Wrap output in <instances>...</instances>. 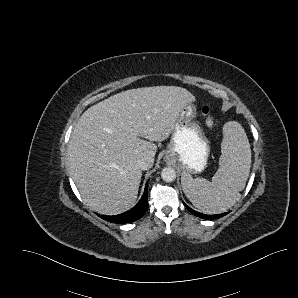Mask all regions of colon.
Wrapping results in <instances>:
<instances>
[{
  "instance_id": "5ec220e1",
  "label": "colon",
  "mask_w": 298,
  "mask_h": 298,
  "mask_svg": "<svg viewBox=\"0 0 298 298\" xmlns=\"http://www.w3.org/2000/svg\"><path fill=\"white\" fill-rule=\"evenodd\" d=\"M202 114L206 117L207 124L209 126H214L215 125V121L210 116V107L208 105H205V106L202 107Z\"/></svg>"
}]
</instances>
